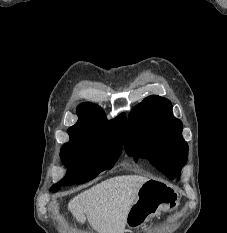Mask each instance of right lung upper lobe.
<instances>
[{
    "label": "right lung upper lobe",
    "mask_w": 227,
    "mask_h": 233,
    "mask_svg": "<svg viewBox=\"0 0 227 233\" xmlns=\"http://www.w3.org/2000/svg\"><path fill=\"white\" fill-rule=\"evenodd\" d=\"M78 122L68 129L70 139L94 143L109 138L124 141L126 116L122 113L116 119L107 120L101 107L85 102L77 107Z\"/></svg>",
    "instance_id": "right-lung-upper-lobe-1"
}]
</instances>
